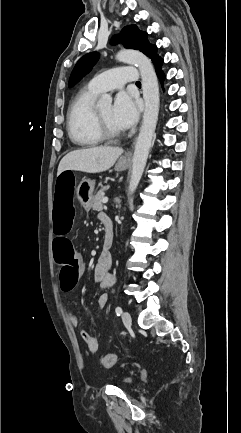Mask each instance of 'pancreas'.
Returning <instances> with one entry per match:
<instances>
[{
	"instance_id": "1",
	"label": "pancreas",
	"mask_w": 241,
	"mask_h": 433,
	"mask_svg": "<svg viewBox=\"0 0 241 433\" xmlns=\"http://www.w3.org/2000/svg\"><path fill=\"white\" fill-rule=\"evenodd\" d=\"M104 198V189H101L94 196L91 207L94 211H101L103 209L102 200Z\"/></svg>"
}]
</instances>
